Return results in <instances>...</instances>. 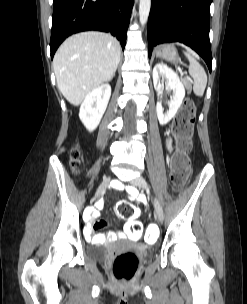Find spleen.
Masks as SVG:
<instances>
[{"instance_id":"spleen-1","label":"spleen","mask_w":247,"mask_h":304,"mask_svg":"<svg viewBox=\"0 0 247 304\" xmlns=\"http://www.w3.org/2000/svg\"><path fill=\"white\" fill-rule=\"evenodd\" d=\"M186 58L188 59L189 74L194 80L193 91L197 96H203L206 85H207V75L204 68L199 64L195 57L189 52H184Z\"/></svg>"}]
</instances>
